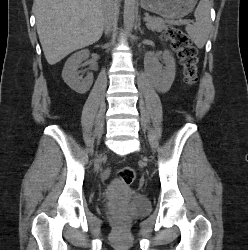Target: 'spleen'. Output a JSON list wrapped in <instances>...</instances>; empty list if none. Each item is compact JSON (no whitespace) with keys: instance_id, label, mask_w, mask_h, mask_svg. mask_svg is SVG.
Wrapping results in <instances>:
<instances>
[{"instance_id":"3e777b00","label":"spleen","mask_w":248,"mask_h":250,"mask_svg":"<svg viewBox=\"0 0 248 250\" xmlns=\"http://www.w3.org/2000/svg\"><path fill=\"white\" fill-rule=\"evenodd\" d=\"M194 16L196 22L192 25L187 24L185 30L194 44L198 48H202L208 39L211 29L209 0H200Z\"/></svg>"}]
</instances>
